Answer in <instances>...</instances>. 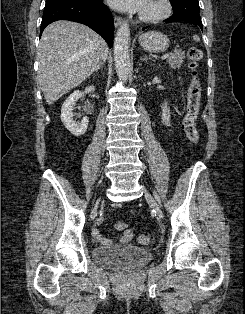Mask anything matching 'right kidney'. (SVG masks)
<instances>
[{"mask_svg":"<svg viewBox=\"0 0 245 314\" xmlns=\"http://www.w3.org/2000/svg\"><path fill=\"white\" fill-rule=\"evenodd\" d=\"M86 92H94L95 87L89 86L85 89ZM82 97L80 91H74L63 103L61 108V121L64 126L73 134L74 136L83 135L88 127L89 119L84 117L81 122L76 123L73 118V109L77 100Z\"/></svg>","mask_w":245,"mask_h":314,"instance_id":"obj_1","label":"right kidney"}]
</instances>
